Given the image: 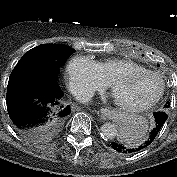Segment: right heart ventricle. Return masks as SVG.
<instances>
[{"instance_id":"right-heart-ventricle-1","label":"right heart ventricle","mask_w":177,"mask_h":177,"mask_svg":"<svg viewBox=\"0 0 177 177\" xmlns=\"http://www.w3.org/2000/svg\"><path fill=\"white\" fill-rule=\"evenodd\" d=\"M100 74L107 83H110L117 75L129 71L146 70L142 65L130 60L111 58L95 62Z\"/></svg>"}]
</instances>
